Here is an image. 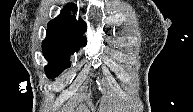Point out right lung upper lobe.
Here are the masks:
<instances>
[{"label": "right lung upper lobe", "mask_w": 193, "mask_h": 112, "mask_svg": "<svg viewBox=\"0 0 193 112\" xmlns=\"http://www.w3.org/2000/svg\"><path fill=\"white\" fill-rule=\"evenodd\" d=\"M74 9H76L74 4L66 5L60 15L48 23L44 41H65L81 46L86 45V38L82 35L86 31V25L81 19L77 21L70 15L69 10Z\"/></svg>", "instance_id": "right-lung-upper-lobe-1"}]
</instances>
